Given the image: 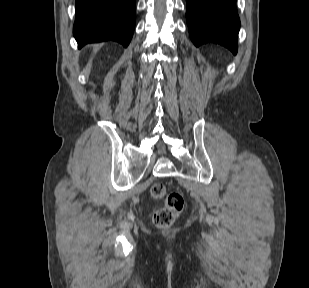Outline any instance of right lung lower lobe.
Returning <instances> with one entry per match:
<instances>
[{"instance_id":"1","label":"right lung lower lobe","mask_w":309,"mask_h":288,"mask_svg":"<svg viewBox=\"0 0 309 288\" xmlns=\"http://www.w3.org/2000/svg\"><path fill=\"white\" fill-rule=\"evenodd\" d=\"M135 27V0H76L73 34L87 43L117 41L127 47Z\"/></svg>"}]
</instances>
